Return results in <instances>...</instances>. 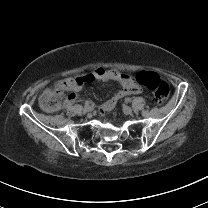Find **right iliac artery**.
<instances>
[{
    "mask_svg": "<svg viewBox=\"0 0 208 208\" xmlns=\"http://www.w3.org/2000/svg\"><path fill=\"white\" fill-rule=\"evenodd\" d=\"M91 104V101L87 100L85 101V106H89Z\"/></svg>",
    "mask_w": 208,
    "mask_h": 208,
    "instance_id": "1",
    "label": "right iliac artery"
}]
</instances>
